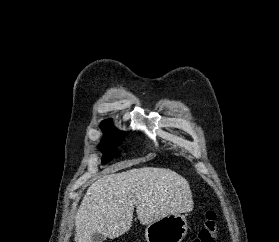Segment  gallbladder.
<instances>
[{"label": "gallbladder", "instance_id": "1", "mask_svg": "<svg viewBox=\"0 0 279 242\" xmlns=\"http://www.w3.org/2000/svg\"><path fill=\"white\" fill-rule=\"evenodd\" d=\"M104 236L98 232L92 234V242H103Z\"/></svg>", "mask_w": 279, "mask_h": 242}]
</instances>
